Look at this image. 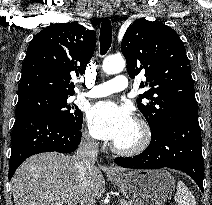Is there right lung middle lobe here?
<instances>
[{
    "instance_id": "1",
    "label": "right lung middle lobe",
    "mask_w": 212,
    "mask_h": 205,
    "mask_svg": "<svg viewBox=\"0 0 212 205\" xmlns=\"http://www.w3.org/2000/svg\"><path fill=\"white\" fill-rule=\"evenodd\" d=\"M71 95L51 93H34L20 97L16 108V117L24 114L43 113L61 119L67 124L79 127L82 125L83 113L76 105H69Z\"/></svg>"
}]
</instances>
